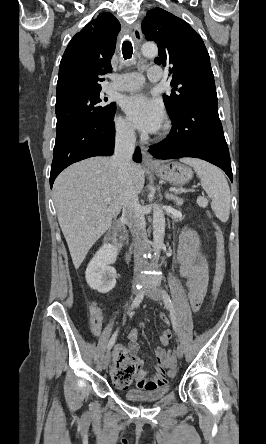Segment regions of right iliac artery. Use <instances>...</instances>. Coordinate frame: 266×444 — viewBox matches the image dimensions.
I'll return each mask as SVG.
<instances>
[{"label":"right iliac artery","instance_id":"right-iliac-artery-1","mask_svg":"<svg viewBox=\"0 0 266 444\" xmlns=\"http://www.w3.org/2000/svg\"><path fill=\"white\" fill-rule=\"evenodd\" d=\"M144 294H145V291L141 290L140 293L135 297V299L131 305V309H134L139 306L140 302L142 301V299L144 297ZM117 335H118V329L114 332V334L112 335V337L110 338V340L108 342V345H107L108 350H110L112 348V346L114 345Z\"/></svg>","mask_w":266,"mask_h":444}]
</instances>
